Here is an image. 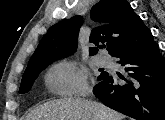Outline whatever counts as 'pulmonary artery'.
<instances>
[{
  "mask_svg": "<svg viewBox=\"0 0 165 120\" xmlns=\"http://www.w3.org/2000/svg\"><path fill=\"white\" fill-rule=\"evenodd\" d=\"M97 61L102 66H109L112 64L111 59L107 56H99Z\"/></svg>",
  "mask_w": 165,
  "mask_h": 120,
  "instance_id": "obj_1",
  "label": "pulmonary artery"
}]
</instances>
